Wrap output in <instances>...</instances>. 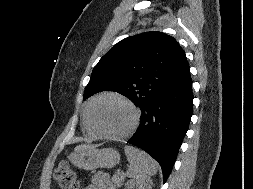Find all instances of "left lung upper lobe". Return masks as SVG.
I'll list each match as a JSON object with an SVG mask.
<instances>
[{
    "label": "left lung upper lobe",
    "mask_w": 253,
    "mask_h": 189,
    "mask_svg": "<svg viewBox=\"0 0 253 189\" xmlns=\"http://www.w3.org/2000/svg\"><path fill=\"white\" fill-rule=\"evenodd\" d=\"M186 61L178 42L165 33L151 31L127 37L94 67L83 99L104 90L115 91L141 109Z\"/></svg>",
    "instance_id": "left-lung-upper-lobe-1"
}]
</instances>
